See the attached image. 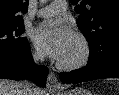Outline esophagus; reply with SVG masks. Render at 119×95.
I'll return each instance as SVG.
<instances>
[{
    "instance_id": "1",
    "label": "esophagus",
    "mask_w": 119,
    "mask_h": 95,
    "mask_svg": "<svg viewBox=\"0 0 119 95\" xmlns=\"http://www.w3.org/2000/svg\"><path fill=\"white\" fill-rule=\"evenodd\" d=\"M47 88L49 90H56L60 88V84L54 73L50 72L47 77Z\"/></svg>"
}]
</instances>
